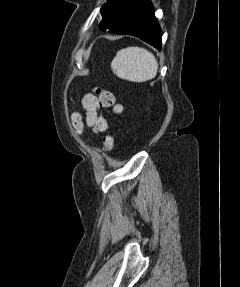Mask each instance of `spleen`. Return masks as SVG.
Instances as JSON below:
<instances>
[{"label": "spleen", "mask_w": 240, "mask_h": 287, "mask_svg": "<svg viewBox=\"0 0 240 287\" xmlns=\"http://www.w3.org/2000/svg\"><path fill=\"white\" fill-rule=\"evenodd\" d=\"M111 69L120 79L140 83L155 78L158 62L147 49L127 47L117 52L111 62Z\"/></svg>", "instance_id": "obj_1"}]
</instances>
